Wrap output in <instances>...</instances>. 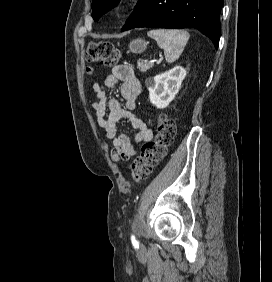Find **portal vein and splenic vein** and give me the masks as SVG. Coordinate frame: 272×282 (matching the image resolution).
<instances>
[{
  "mask_svg": "<svg viewBox=\"0 0 272 282\" xmlns=\"http://www.w3.org/2000/svg\"><path fill=\"white\" fill-rule=\"evenodd\" d=\"M155 61H156L157 64L161 63L162 57H160L159 59H156Z\"/></svg>",
  "mask_w": 272,
  "mask_h": 282,
  "instance_id": "portal-vein-and-splenic-vein-1",
  "label": "portal vein and splenic vein"
}]
</instances>
